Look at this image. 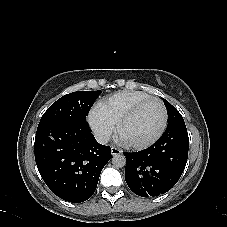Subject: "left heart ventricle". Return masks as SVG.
Here are the masks:
<instances>
[{
    "label": "left heart ventricle",
    "instance_id": "1",
    "mask_svg": "<svg viewBox=\"0 0 227 227\" xmlns=\"http://www.w3.org/2000/svg\"><path fill=\"white\" fill-rule=\"evenodd\" d=\"M162 121L161 105L156 101H150L123 127L121 137L126 142H144L154 136Z\"/></svg>",
    "mask_w": 227,
    "mask_h": 227
}]
</instances>
